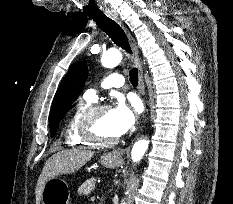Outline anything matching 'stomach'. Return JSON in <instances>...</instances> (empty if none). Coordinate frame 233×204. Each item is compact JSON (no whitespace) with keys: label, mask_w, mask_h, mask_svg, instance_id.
<instances>
[{"label":"stomach","mask_w":233,"mask_h":204,"mask_svg":"<svg viewBox=\"0 0 233 204\" xmlns=\"http://www.w3.org/2000/svg\"><path fill=\"white\" fill-rule=\"evenodd\" d=\"M121 160L111 154L101 157V164L107 168H116ZM70 190L68 184L60 179H49L41 194L40 204H69Z\"/></svg>","instance_id":"obj_1"}]
</instances>
